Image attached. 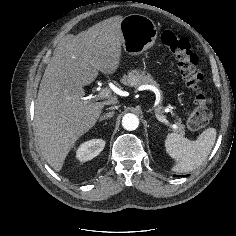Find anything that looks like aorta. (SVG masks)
Wrapping results in <instances>:
<instances>
[{
  "label": "aorta",
  "mask_w": 236,
  "mask_h": 236,
  "mask_svg": "<svg viewBox=\"0 0 236 236\" xmlns=\"http://www.w3.org/2000/svg\"><path fill=\"white\" fill-rule=\"evenodd\" d=\"M138 125H139V119L136 115L132 113H127L123 116L122 126L124 129L128 131H133L137 129Z\"/></svg>",
  "instance_id": "762f6f07"
}]
</instances>
